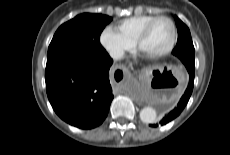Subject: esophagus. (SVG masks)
<instances>
[{"label": "esophagus", "mask_w": 230, "mask_h": 155, "mask_svg": "<svg viewBox=\"0 0 230 155\" xmlns=\"http://www.w3.org/2000/svg\"><path fill=\"white\" fill-rule=\"evenodd\" d=\"M124 71H125V73L127 74V71H126V69L124 68Z\"/></svg>", "instance_id": "34e87169"}]
</instances>
